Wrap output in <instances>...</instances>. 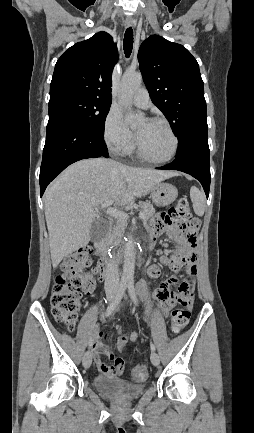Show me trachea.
Instances as JSON below:
<instances>
[{"mask_svg":"<svg viewBox=\"0 0 254 433\" xmlns=\"http://www.w3.org/2000/svg\"><path fill=\"white\" fill-rule=\"evenodd\" d=\"M123 48L126 57H129L133 48V30L131 27H129L125 32Z\"/></svg>","mask_w":254,"mask_h":433,"instance_id":"obj_1","label":"trachea"}]
</instances>
